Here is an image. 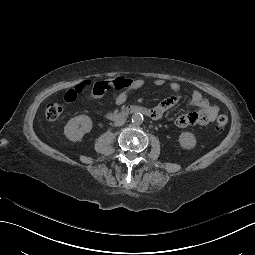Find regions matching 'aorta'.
<instances>
[{"instance_id": "aorta-1", "label": "aorta", "mask_w": 255, "mask_h": 255, "mask_svg": "<svg viewBox=\"0 0 255 255\" xmlns=\"http://www.w3.org/2000/svg\"><path fill=\"white\" fill-rule=\"evenodd\" d=\"M144 117L141 113H135L132 115V123L135 125H141L143 123Z\"/></svg>"}]
</instances>
